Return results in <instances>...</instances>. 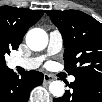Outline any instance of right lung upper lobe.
I'll list each match as a JSON object with an SVG mask.
<instances>
[{
  "mask_svg": "<svg viewBox=\"0 0 102 102\" xmlns=\"http://www.w3.org/2000/svg\"><path fill=\"white\" fill-rule=\"evenodd\" d=\"M44 14L43 10L0 7V47L17 49L27 30Z\"/></svg>",
  "mask_w": 102,
  "mask_h": 102,
  "instance_id": "right-lung-upper-lobe-1",
  "label": "right lung upper lobe"
}]
</instances>
